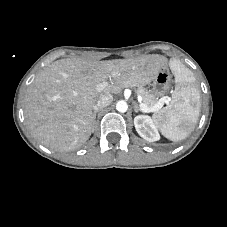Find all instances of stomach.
<instances>
[{
  "label": "stomach",
  "mask_w": 227,
  "mask_h": 227,
  "mask_svg": "<svg viewBox=\"0 0 227 227\" xmlns=\"http://www.w3.org/2000/svg\"><path fill=\"white\" fill-rule=\"evenodd\" d=\"M172 76L167 69V65H162V70L153 79L152 89L155 96L166 94L171 87Z\"/></svg>",
  "instance_id": "obj_1"
}]
</instances>
